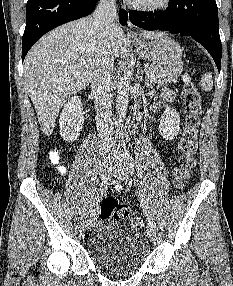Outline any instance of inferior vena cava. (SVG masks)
I'll use <instances>...</instances> for the list:
<instances>
[{
	"label": "inferior vena cava",
	"mask_w": 233,
	"mask_h": 286,
	"mask_svg": "<svg viewBox=\"0 0 233 286\" xmlns=\"http://www.w3.org/2000/svg\"><path fill=\"white\" fill-rule=\"evenodd\" d=\"M93 26L102 32V47L94 61L91 91L95 97L96 125L105 138L107 150L112 151L113 145L109 134L112 131L111 123V90L113 79L114 58L108 42L109 28L117 20L115 0H100L93 15Z\"/></svg>",
	"instance_id": "inferior-vena-cava-1"
}]
</instances>
